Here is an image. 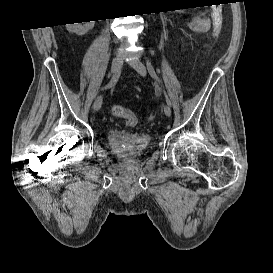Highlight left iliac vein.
<instances>
[{
	"instance_id": "obj_1",
	"label": "left iliac vein",
	"mask_w": 273,
	"mask_h": 273,
	"mask_svg": "<svg viewBox=\"0 0 273 273\" xmlns=\"http://www.w3.org/2000/svg\"><path fill=\"white\" fill-rule=\"evenodd\" d=\"M130 66L134 68L141 76H146V67L145 65L138 59L132 60L129 62ZM164 113L166 116L171 115V108L168 105H164Z\"/></svg>"
}]
</instances>
